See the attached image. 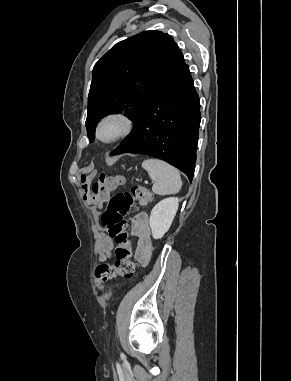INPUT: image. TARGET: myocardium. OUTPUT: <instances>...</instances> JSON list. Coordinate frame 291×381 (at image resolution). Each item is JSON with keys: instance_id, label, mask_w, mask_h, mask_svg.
I'll return each mask as SVG.
<instances>
[{"instance_id": "1", "label": "myocardium", "mask_w": 291, "mask_h": 381, "mask_svg": "<svg viewBox=\"0 0 291 381\" xmlns=\"http://www.w3.org/2000/svg\"><path fill=\"white\" fill-rule=\"evenodd\" d=\"M112 121L117 122L119 124V129L113 136L105 139L101 136L102 127L106 123ZM133 128L134 120L129 114L121 111H114L103 115L98 120L95 127V137L100 143L104 145H109L126 138L132 132Z\"/></svg>"}]
</instances>
